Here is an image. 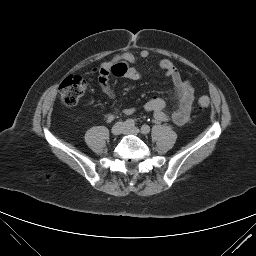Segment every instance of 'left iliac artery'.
Instances as JSON below:
<instances>
[{"instance_id":"44dca946","label":"left iliac artery","mask_w":256,"mask_h":256,"mask_svg":"<svg viewBox=\"0 0 256 256\" xmlns=\"http://www.w3.org/2000/svg\"><path fill=\"white\" fill-rule=\"evenodd\" d=\"M141 132H142L143 134H148V133L150 132V126H149V125H146V124L142 125V127H141Z\"/></svg>"}]
</instances>
